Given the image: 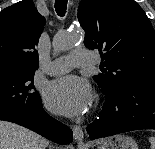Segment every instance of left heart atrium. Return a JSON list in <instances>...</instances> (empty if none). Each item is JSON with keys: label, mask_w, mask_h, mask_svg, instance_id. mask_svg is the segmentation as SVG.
I'll return each mask as SVG.
<instances>
[{"label": "left heart atrium", "mask_w": 155, "mask_h": 149, "mask_svg": "<svg viewBox=\"0 0 155 149\" xmlns=\"http://www.w3.org/2000/svg\"><path fill=\"white\" fill-rule=\"evenodd\" d=\"M44 101L50 111L73 117L84 113L89 108L92 92L85 80L68 75L47 84Z\"/></svg>", "instance_id": "obj_1"}]
</instances>
